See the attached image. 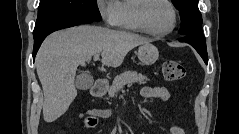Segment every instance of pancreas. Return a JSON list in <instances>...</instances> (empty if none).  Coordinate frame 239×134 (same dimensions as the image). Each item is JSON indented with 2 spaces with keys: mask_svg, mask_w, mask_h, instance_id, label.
Wrapping results in <instances>:
<instances>
[{
  "mask_svg": "<svg viewBox=\"0 0 239 134\" xmlns=\"http://www.w3.org/2000/svg\"><path fill=\"white\" fill-rule=\"evenodd\" d=\"M147 77L134 71H125L114 78L108 91L109 97H114L126 84L139 83L145 84Z\"/></svg>",
  "mask_w": 239,
  "mask_h": 134,
  "instance_id": "obj_1",
  "label": "pancreas"
}]
</instances>
